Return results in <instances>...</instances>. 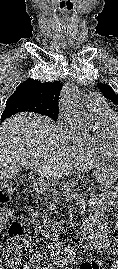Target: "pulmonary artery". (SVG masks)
<instances>
[{"instance_id": "e3ab8cb5", "label": "pulmonary artery", "mask_w": 118, "mask_h": 269, "mask_svg": "<svg viewBox=\"0 0 118 269\" xmlns=\"http://www.w3.org/2000/svg\"><path fill=\"white\" fill-rule=\"evenodd\" d=\"M85 103L89 110L102 108L107 105L105 98L97 92H90L86 96Z\"/></svg>"}]
</instances>
